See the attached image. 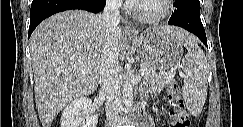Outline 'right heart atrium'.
Returning <instances> with one entry per match:
<instances>
[{
    "label": "right heart atrium",
    "instance_id": "d8ad5b80",
    "mask_svg": "<svg viewBox=\"0 0 243 127\" xmlns=\"http://www.w3.org/2000/svg\"><path fill=\"white\" fill-rule=\"evenodd\" d=\"M108 5L111 7V8H117L119 6V1L117 0H110L108 2Z\"/></svg>",
    "mask_w": 243,
    "mask_h": 127
}]
</instances>
